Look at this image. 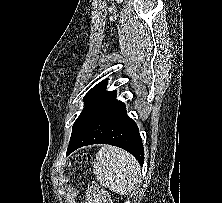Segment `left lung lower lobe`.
<instances>
[{
  "mask_svg": "<svg viewBox=\"0 0 222 203\" xmlns=\"http://www.w3.org/2000/svg\"><path fill=\"white\" fill-rule=\"evenodd\" d=\"M91 144H110L131 153L142 166L144 148L136 123L127 115L126 107L111 96L89 121L80 135L69 142L67 155Z\"/></svg>",
  "mask_w": 222,
  "mask_h": 203,
  "instance_id": "obj_1",
  "label": "left lung lower lobe"
}]
</instances>
